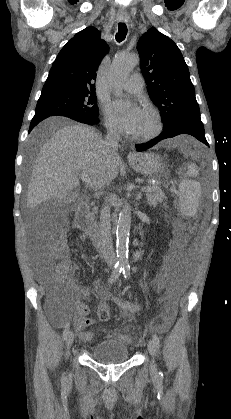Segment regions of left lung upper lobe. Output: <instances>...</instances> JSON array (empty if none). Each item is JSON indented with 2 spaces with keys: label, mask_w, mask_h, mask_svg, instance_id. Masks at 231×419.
Instances as JSON below:
<instances>
[{
  "label": "left lung upper lobe",
  "mask_w": 231,
  "mask_h": 419,
  "mask_svg": "<svg viewBox=\"0 0 231 419\" xmlns=\"http://www.w3.org/2000/svg\"><path fill=\"white\" fill-rule=\"evenodd\" d=\"M137 49L149 96L163 117V130L186 118H200L188 66L175 42L153 27L142 35Z\"/></svg>",
  "instance_id": "1"
}]
</instances>
